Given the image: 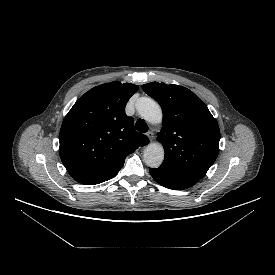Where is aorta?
<instances>
[{
  "mask_svg": "<svg viewBox=\"0 0 275 275\" xmlns=\"http://www.w3.org/2000/svg\"><path fill=\"white\" fill-rule=\"evenodd\" d=\"M137 111L146 121L159 124L162 121V110L157 102L143 97L137 101ZM144 162L151 168H158L164 160V148L159 143H151L144 150Z\"/></svg>",
  "mask_w": 275,
  "mask_h": 275,
  "instance_id": "1",
  "label": "aorta"
}]
</instances>
